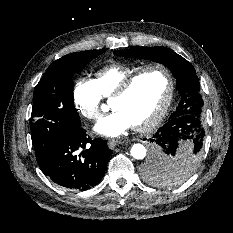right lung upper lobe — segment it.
<instances>
[{"label":"right lung upper lobe","instance_id":"right-lung-upper-lobe-1","mask_svg":"<svg viewBox=\"0 0 233 233\" xmlns=\"http://www.w3.org/2000/svg\"><path fill=\"white\" fill-rule=\"evenodd\" d=\"M62 58H63V57H62ZM62 58H60V59L54 61L53 63H55V64H56V63H59V62L61 61Z\"/></svg>","mask_w":233,"mask_h":233}]
</instances>
